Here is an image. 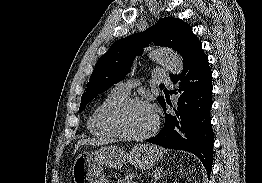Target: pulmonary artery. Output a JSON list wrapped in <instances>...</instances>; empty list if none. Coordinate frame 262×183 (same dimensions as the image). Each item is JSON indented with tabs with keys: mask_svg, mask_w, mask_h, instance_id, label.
I'll list each match as a JSON object with an SVG mask.
<instances>
[{
	"mask_svg": "<svg viewBox=\"0 0 262 183\" xmlns=\"http://www.w3.org/2000/svg\"><path fill=\"white\" fill-rule=\"evenodd\" d=\"M153 81L171 84V80L169 77L161 75L156 72L153 74ZM136 84L137 83L133 80H126V81L118 83L114 87V90L122 95L127 96L130 93L131 88L135 86Z\"/></svg>",
	"mask_w": 262,
	"mask_h": 183,
	"instance_id": "e3ab8cb5",
	"label": "pulmonary artery"
}]
</instances>
